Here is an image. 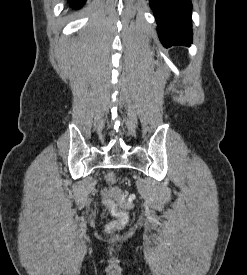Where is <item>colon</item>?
<instances>
[{
    "instance_id": "colon-1",
    "label": "colon",
    "mask_w": 247,
    "mask_h": 275,
    "mask_svg": "<svg viewBox=\"0 0 247 275\" xmlns=\"http://www.w3.org/2000/svg\"><path fill=\"white\" fill-rule=\"evenodd\" d=\"M107 186L101 190V196L104 204L109 208L115 219L107 224L109 232L123 228L129 220L127 210L133 208L134 196L128 195L112 185L115 182V175L109 173L105 176ZM122 208H120L119 206Z\"/></svg>"
}]
</instances>
